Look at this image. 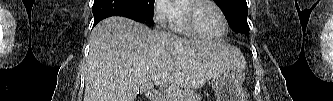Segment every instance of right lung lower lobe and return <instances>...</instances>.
Returning a JSON list of instances; mask_svg holds the SVG:
<instances>
[{"label":"right lung lower lobe","instance_id":"1","mask_svg":"<svg viewBox=\"0 0 333 101\" xmlns=\"http://www.w3.org/2000/svg\"><path fill=\"white\" fill-rule=\"evenodd\" d=\"M94 25L110 16H123L144 23L145 18L131 0H94Z\"/></svg>","mask_w":333,"mask_h":101}]
</instances>
